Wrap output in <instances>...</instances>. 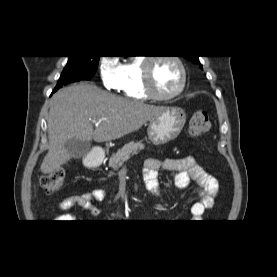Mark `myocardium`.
Segmentation results:
<instances>
[{
	"mask_svg": "<svg viewBox=\"0 0 277 277\" xmlns=\"http://www.w3.org/2000/svg\"><path fill=\"white\" fill-rule=\"evenodd\" d=\"M159 59H168L173 61L180 70V84L176 91L169 95L159 94L153 84V64ZM187 83V71L186 67L180 57L175 55H165L164 57H150L143 62L142 67V84L144 92L152 99L167 101L178 97L185 89Z\"/></svg>",
	"mask_w": 277,
	"mask_h": 277,
	"instance_id": "obj_1",
	"label": "myocardium"
}]
</instances>
